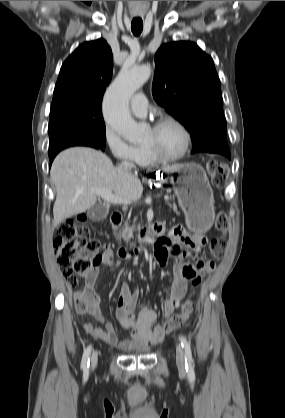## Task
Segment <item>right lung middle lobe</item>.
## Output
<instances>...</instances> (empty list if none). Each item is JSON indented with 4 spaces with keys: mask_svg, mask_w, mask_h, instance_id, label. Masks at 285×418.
<instances>
[{
    "mask_svg": "<svg viewBox=\"0 0 285 418\" xmlns=\"http://www.w3.org/2000/svg\"><path fill=\"white\" fill-rule=\"evenodd\" d=\"M49 138V157L80 144H94L104 150L106 137L101 105L52 104Z\"/></svg>",
    "mask_w": 285,
    "mask_h": 418,
    "instance_id": "dd1d6c3e",
    "label": "right lung middle lobe"
}]
</instances>
